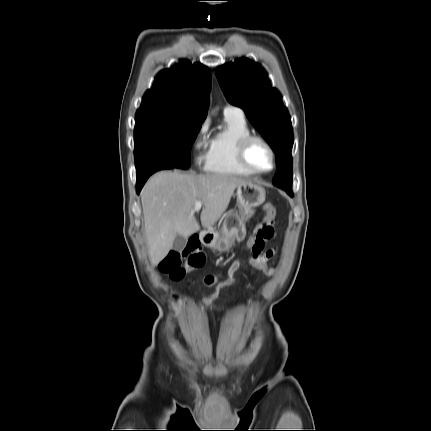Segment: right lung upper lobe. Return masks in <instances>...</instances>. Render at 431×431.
<instances>
[{
  "label": "right lung upper lobe",
  "mask_w": 431,
  "mask_h": 431,
  "mask_svg": "<svg viewBox=\"0 0 431 431\" xmlns=\"http://www.w3.org/2000/svg\"><path fill=\"white\" fill-rule=\"evenodd\" d=\"M211 75L200 64L181 61L159 72L135 119L157 117L202 123L207 115Z\"/></svg>",
  "instance_id": "1"
}]
</instances>
